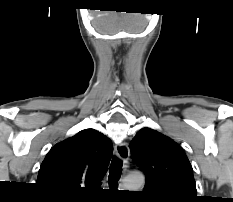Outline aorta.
<instances>
[{
  "label": "aorta",
  "mask_w": 233,
  "mask_h": 202,
  "mask_svg": "<svg viewBox=\"0 0 233 202\" xmlns=\"http://www.w3.org/2000/svg\"><path fill=\"white\" fill-rule=\"evenodd\" d=\"M144 184V177L141 174L127 176L123 181V187L129 190L139 189Z\"/></svg>",
  "instance_id": "762f6f07"
}]
</instances>
